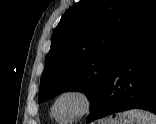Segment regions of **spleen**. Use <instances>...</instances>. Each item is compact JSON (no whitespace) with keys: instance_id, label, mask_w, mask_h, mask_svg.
<instances>
[{"instance_id":"spleen-1","label":"spleen","mask_w":156,"mask_h":124,"mask_svg":"<svg viewBox=\"0 0 156 124\" xmlns=\"http://www.w3.org/2000/svg\"><path fill=\"white\" fill-rule=\"evenodd\" d=\"M126 118L133 119L136 124H156V115L140 109L125 111Z\"/></svg>"}]
</instances>
